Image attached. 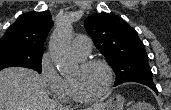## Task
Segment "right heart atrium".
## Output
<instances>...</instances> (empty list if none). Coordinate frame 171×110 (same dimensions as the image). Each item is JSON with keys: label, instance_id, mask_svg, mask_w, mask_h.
Wrapping results in <instances>:
<instances>
[{"label": "right heart atrium", "instance_id": "d8ad5b80", "mask_svg": "<svg viewBox=\"0 0 171 110\" xmlns=\"http://www.w3.org/2000/svg\"><path fill=\"white\" fill-rule=\"evenodd\" d=\"M39 76L50 94L57 98L61 92L63 78L52 64L49 53H45L41 57Z\"/></svg>", "mask_w": 171, "mask_h": 110}]
</instances>
